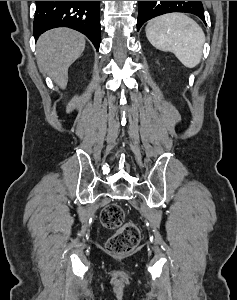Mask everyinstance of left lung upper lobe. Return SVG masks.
<instances>
[{"label":"left lung upper lobe","mask_w":237,"mask_h":300,"mask_svg":"<svg viewBox=\"0 0 237 300\" xmlns=\"http://www.w3.org/2000/svg\"><path fill=\"white\" fill-rule=\"evenodd\" d=\"M170 12L191 13L205 23L201 1H139L137 30L151 18Z\"/></svg>","instance_id":"left-lung-upper-lobe-1"}]
</instances>
